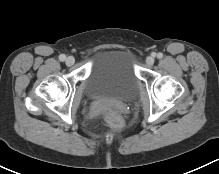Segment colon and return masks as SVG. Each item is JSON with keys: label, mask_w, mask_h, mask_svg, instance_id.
<instances>
[{"label": "colon", "mask_w": 219, "mask_h": 174, "mask_svg": "<svg viewBox=\"0 0 219 174\" xmlns=\"http://www.w3.org/2000/svg\"><path fill=\"white\" fill-rule=\"evenodd\" d=\"M105 119L107 123L112 127V128H119L122 125V119L120 114L114 110V109H109L106 114H105Z\"/></svg>", "instance_id": "5ec220e1"}]
</instances>
